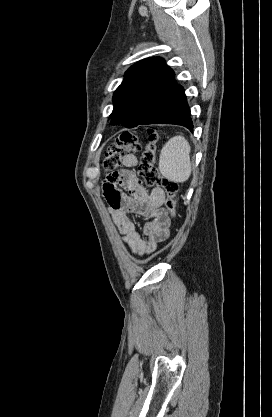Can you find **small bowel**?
<instances>
[{
    "mask_svg": "<svg viewBox=\"0 0 272 417\" xmlns=\"http://www.w3.org/2000/svg\"><path fill=\"white\" fill-rule=\"evenodd\" d=\"M123 165L125 169L107 177L103 194L122 234V242L132 254L141 256L155 251L158 244L168 238L171 220L167 210L162 207L165 200L163 190L159 187L148 190L143 185L137 169V157L127 155ZM134 217L144 221L142 234L136 228Z\"/></svg>",
    "mask_w": 272,
    "mask_h": 417,
    "instance_id": "obj_1",
    "label": "small bowel"
}]
</instances>
